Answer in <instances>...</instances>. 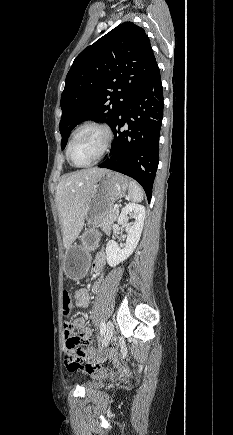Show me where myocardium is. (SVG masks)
Masks as SVG:
<instances>
[{
  "label": "myocardium",
  "instance_id": "1",
  "mask_svg": "<svg viewBox=\"0 0 233 435\" xmlns=\"http://www.w3.org/2000/svg\"><path fill=\"white\" fill-rule=\"evenodd\" d=\"M86 128H96L99 131H101L103 136H104V142H103V145L101 147V150L99 151L98 155L95 157L94 160H92L91 162L86 163V164L78 165V164H75L71 159V155H70L71 146H72V143H73L75 137L79 134V132H81L82 130H84ZM112 139H113V133L108 125H106L102 122H99V121H95V120L83 122V123L79 124L71 133V136H70L69 142L67 144V148H66L67 160L69 161V163L73 167H76V168L91 167V166L97 164L104 157V155L106 154V152L108 151V149L110 147Z\"/></svg>",
  "mask_w": 233,
  "mask_h": 435
}]
</instances>
